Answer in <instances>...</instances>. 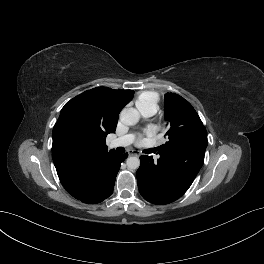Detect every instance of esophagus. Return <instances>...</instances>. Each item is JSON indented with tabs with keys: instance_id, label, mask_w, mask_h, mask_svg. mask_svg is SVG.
Listing matches in <instances>:
<instances>
[{
	"instance_id": "esophagus-1",
	"label": "esophagus",
	"mask_w": 264,
	"mask_h": 264,
	"mask_svg": "<svg viewBox=\"0 0 264 264\" xmlns=\"http://www.w3.org/2000/svg\"><path fill=\"white\" fill-rule=\"evenodd\" d=\"M128 154H129L130 156H139V155H140V152L137 151V150H129V151H128Z\"/></svg>"
}]
</instances>
